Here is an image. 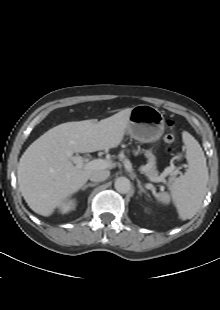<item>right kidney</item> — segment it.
Returning a JSON list of instances; mask_svg holds the SVG:
<instances>
[{"label":"right kidney","mask_w":220,"mask_h":310,"mask_svg":"<svg viewBox=\"0 0 220 310\" xmlns=\"http://www.w3.org/2000/svg\"><path fill=\"white\" fill-rule=\"evenodd\" d=\"M75 206H76L75 200H69V201L63 202L60 205V211L63 214L68 213L69 211L73 210Z\"/></svg>","instance_id":"obj_1"}]
</instances>
